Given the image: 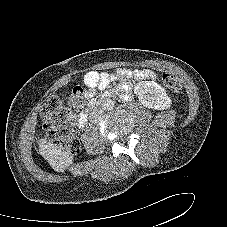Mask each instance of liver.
I'll return each mask as SVG.
<instances>
[{
	"instance_id": "6515ba94",
	"label": "liver",
	"mask_w": 227,
	"mask_h": 227,
	"mask_svg": "<svg viewBox=\"0 0 227 227\" xmlns=\"http://www.w3.org/2000/svg\"><path fill=\"white\" fill-rule=\"evenodd\" d=\"M38 145L40 155L48 161L55 171L63 172L73 163V155L70 150L64 149L62 145L47 141L46 138L40 139Z\"/></svg>"
}]
</instances>
